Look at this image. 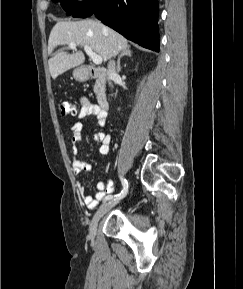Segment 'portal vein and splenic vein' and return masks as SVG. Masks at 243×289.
<instances>
[{
  "mask_svg": "<svg viewBox=\"0 0 243 289\" xmlns=\"http://www.w3.org/2000/svg\"><path fill=\"white\" fill-rule=\"evenodd\" d=\"M69 47L71 49H75L77 44L75 42H70ZM84 51L86 54L92 59L93 63L96 65H100L103 61L102 57L100 55H97L89 46L84 45Z\"/></svg>",
  "mask_w": 243,
  "mask_h": 289,
  "instance_id": "1",
  "label": "portal vein and splenic vein"
}]
</instances>
